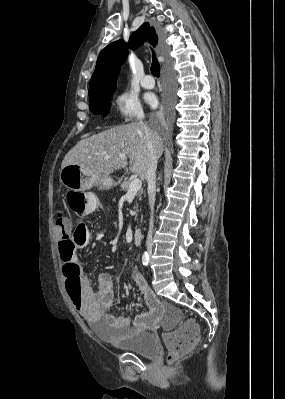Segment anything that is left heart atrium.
Listing matches in <instances>:
<instances>
[{"instance_id": "1", "label": "left heart atrium", "mask_w": 285, "mask_h": 399, "mask_svg": "<svg viewBox=\"0 0 285 399\" xmlns=\"http://www.w3.org/2000/svg\"><path fill=\"white\" fill-rule=\"evenodd\" d=\"M149 103H150V105H151L152 107H154V106H156L157 101H156V99H155L154 97H150V98H149Z\"/></svg>"}]
</instances>
